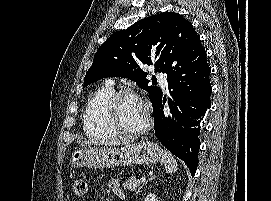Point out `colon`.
Returning a JSON list of instances; mask_svg holds the SVG:
<instances>
[{
	"label": "colon",
	"mask_w": 271,
	"mask_h": 201,
	"mask_svg": "<svg viewBox=\"0 0 271 201\" xmlns=\"http://www.w3.org/2000/svg\"><path fill=\"white\" fill-rule=\"evenodd\" d=\"M73 193L74 196L77 199L83 198L86 193H87V183L83 179H78L74 182V187H73Z\"/></svg>",
	"instance_id": "colon-1"
}]
</instances>
